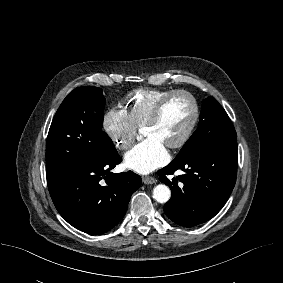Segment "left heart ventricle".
Returning a JSON list of instances; mask_svg holds the SVG:
<instances>
[{
    "mask_svg": "<svg viewBox=\"0 0 283 283\" xmlns=\"http://www.w3.org/2000/svg\"><path fill=\"white\" fill-rule=\"evenodd\" d=\"M192 116L191 101L187 97L176 96L167 103L156 124L142 129V135L144 138H155L167 146L180 139Z\"/></svg>",
    "mask_w": 283,
    "mask_h": 283,
    "instance_id": "left-heart-ventricle-1",
    "label": "left heart ventricle"
}]
</instances>
